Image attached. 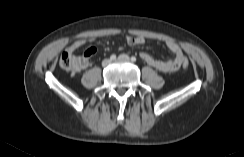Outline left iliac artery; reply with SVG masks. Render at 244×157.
Segmentation results:
<instances>
[{
  "instance_id": "1",
  "label": "left iliac artery",
  "mask_w": 244,
  "mask_h": 157,
  "mask_svg": "<svg viewBox=\"0 0 244 157\" xmlns=\"http://www.w3.org/2000/svg\"><path fill=\"white\" fill-rule=\"evenodd\" d=\"M131 61H132V62H136V57L132 56V57H131Z\"/></svg>"
}]
</instances>
